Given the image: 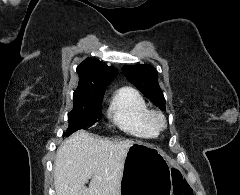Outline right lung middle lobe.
<instances>
[{
    "label": "right lung middle lobe",
    "instance_id": "1",
    "mask_svg": "<svg viewBox=\"0 0 240 195\" xmlns=\"http://www.w3.org/2000/svg\"><path fill=\"white\" fill-rule=\"evenodd\" d=\"M103 98H80L73 100L74 107L68 114L69 127L65 133L69 136L74 131L92 126L102 119L101 104Z\"/></svg>",
    "mask_w": 240,
    "mask_h": 195
}]
</instances>
